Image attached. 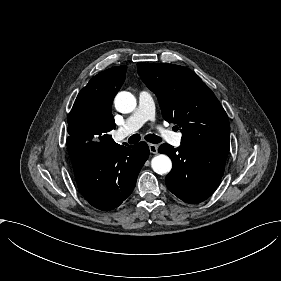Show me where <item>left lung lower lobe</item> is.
Listing matches in <instances>:
<instances>
[{
  "mask_svg": "<svg viewBox=\"0 0 281 281\" xmlns=\"http://www.w3.org/2000/svg\"><path fill=\"white\" fill-rule=\"evenodd\" d=\"M158 151L167 154L173 163L165 179L168 189L184 202L196 204L207 199L219 185L229 147L181 145L174 149L162 144Z\"/></svg>",
  "mask_w": 281,
  "mask_h": 281,
  "instance_id": "1",
  "label": "left lung lower lobe"
}]
</instances>
